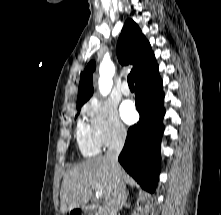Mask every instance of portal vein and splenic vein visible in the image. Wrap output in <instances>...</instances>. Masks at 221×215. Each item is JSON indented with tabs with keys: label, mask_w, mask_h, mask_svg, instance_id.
<instances>
[{
	"label": "portal vein and splenic vein",
	"mask_w": 221,
	"mask_h": 215,
	"mask_svg": "<svg viewBox=\"0 0 221 215\" xmlns=\"http://www.w3.org/2000/svg\"><path fill=\"white\" fill-rule=\"evenodd\" d=\"M97 192L100 194V193H102V190H101V189H98Z\"/></svg>",
	"instance_id": "portal-vein-and-splenic-vein-1"
}]
</instances>
